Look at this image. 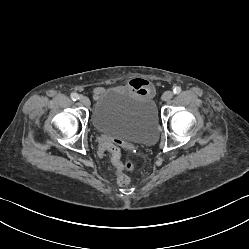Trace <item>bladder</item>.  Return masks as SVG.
<instances>
[{
	"mask_svg": "<svg viewBox=\"0 0 249 249\" xmlns=\"http://www.w3.org/2000/svg\"><path fill=\"white\" fill-rule=\"evenodd\" d=\"M93 125L127 143L152 144L158 136V114L151 97L128 88H109L96 102Z\"/></svg>",
	"mask_w": 249,
	"mask_h": 249,
	"instance_id": "bladder-1",
	"label": "bladder"
}]
</instances>
